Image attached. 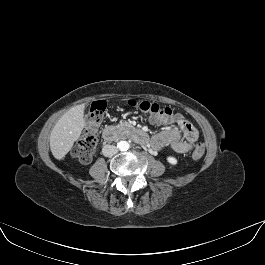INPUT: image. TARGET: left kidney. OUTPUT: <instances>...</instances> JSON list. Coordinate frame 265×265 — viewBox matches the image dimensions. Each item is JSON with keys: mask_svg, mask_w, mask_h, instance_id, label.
<instances>
[{"mask_svg": "<svg viewBox=\"0 0 265 265\" xmlns=\"http://www.w3.org/2000/svg\"><path fill=\"white\" fill-rule=\"evenodd\" d=\"M167 162L171 165H176L177 164V159L175 157H172V156H168L167 157Z\"/></svg>", "mask_w": 265, "mask_h": 265, "instance_id": "left-kidney-1", "label": "left kidney"}]
</instances>
